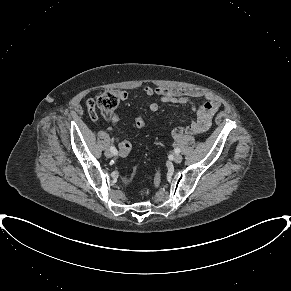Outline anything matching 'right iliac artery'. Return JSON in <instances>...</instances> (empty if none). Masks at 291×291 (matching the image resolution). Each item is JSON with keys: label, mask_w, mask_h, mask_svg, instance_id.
<instances>
[{"label": "right iliac artery", "mask_w": 291, "mask_h": 291, "mask_svg": "<svg viewBox=\"0 0 291 291\" xmlns=\"http://www.w3.org/2000/svg\"><path fill=\"white\" fill-rule=\"evenodd\" d=\"M110 150L113 152L114 155H117L118 151L113 145L110 147Z\"/></svg>", "instance_id": "82829eb1"}]
</instances>
